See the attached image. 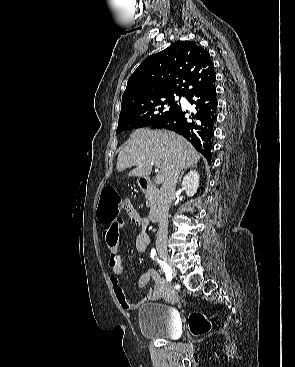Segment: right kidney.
I'll use <instances>...</instances> for the list:
<instances>
[{
	"instance_id": "right-kidney-1",
	"label": "right kidney",
	"mask_w": 295,
	"mask_h": 367,
	"mask_svg": "<svg viewBox=\"0 0 295 367\" xmlns=\"http://www.w3.org/2000/svg\"><path fill=\"white\" fill-rule=\"evenodd\" d=\"M199 178L200 176L195 170L185 176L182 182V188L185 190L187 196L192 197L195 195L199 186Z\"/></svg>"
}]
</instances>
